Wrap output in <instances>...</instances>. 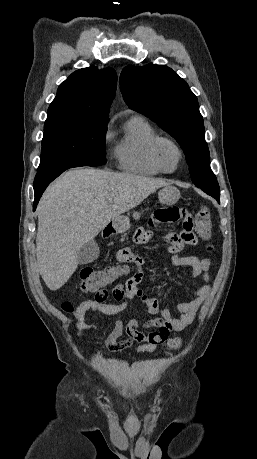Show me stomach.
Here are the masks:
<instances>
[{
	"label": "stomach",
	"mask_w": 257,
	"mask_h": 459,
	"mask_svg": "<svg viewBox=\"0 0 257 459\" xmlns=\"http://www.w3.org/2000/svg\"><path fill=\"white\" fill-rule=\"evenodd\" d=\"M159 201L166 205L175 204L180 198L179 190L172 185L164 186L158 193ZM139 213L134 212L133 217L138 219ZM130 228V220L126 216H119L112 221V233H123Z\"/></svg>",
	"instance_id": "stomach-1"
}]
</instances>
